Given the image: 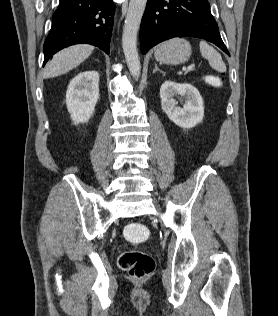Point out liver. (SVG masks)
Segmentation results:
<instances>
[{
  "label": "liver",
  "instance_id": "1",
  "mask_svg": "<svg viewBox=\"0 0 278 316\" xmlns=\"http://www.w3.org/2000/svg\"><path fill=\"white\" fill-rule=\"evenodd\" d=\"M93 50L94 47L87 44L74 45L63 49L55 54L46 65L44 78L56 77L76 68L91 55Z\"/></svg>",
  "mask_w": 278,
  "mask_h": 316
}]
</instances>
